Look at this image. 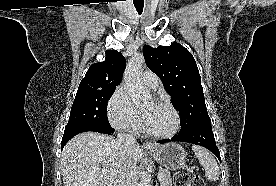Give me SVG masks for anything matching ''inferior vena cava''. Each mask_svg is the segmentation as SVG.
Wrapping results in <instances>:
<instances>
[{"label":"inferior vena cava","mask_w":276,"mask_h":186,"mask_svg":"<svg viewBox=\"0 0 276 186\" xmlns=\"http://www.w3.org/2000/svg\"><path fill=\"white\" fill-rule=\"evenodd\" d=\"M135 137L127 132H120L117 135L116 144L124 151L136 146ZM137 168L132 163H125L120 171L118 186H137Z\"/></svg>","instance_id":"602c4592"}]
</instances>
